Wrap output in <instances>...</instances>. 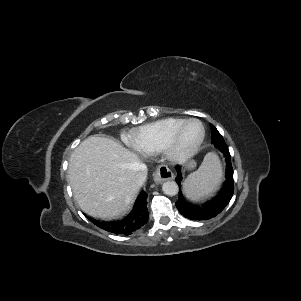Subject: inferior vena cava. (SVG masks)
<instances>
[{"mask_svg":"<svg viewBox=\"0 0 301 301\" xmlns=\"http://www.w3.org/2000/svg\"><path fill=\"white\" fill-rule=\"evenodd\" d=\"M147 172V166L145 164H140L139 172L135 175L133 179L134 184L137 186H141L147 178Z\"/></svg>","mask_w":301,"mask_h":301,"instance_id":"inferior-vena-cava-1","label":"inferior vena cava"}]
</instances>
